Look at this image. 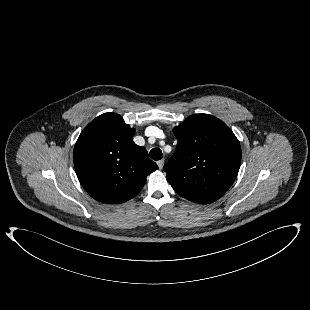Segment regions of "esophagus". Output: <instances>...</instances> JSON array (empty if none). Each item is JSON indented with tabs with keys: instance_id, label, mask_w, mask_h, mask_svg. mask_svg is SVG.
Wrapping results in <instances>:
<instances>
[{
	"instance_id": "esophagus-1",
	"label": "esophagus",
	"mask_w": 310,
	"mask_h": 310,
	"mask_svg": "<svg viewBox=\"0 0 310 310\" xmlns=\"http://www.w3.org/2000/svg\"><path fill=\"white\" fill-rule=\"evenodd\" d=\"M163 164H164V159L157 161V165H158L159 169H162Z\"/></svg>"
}]
</instances>
